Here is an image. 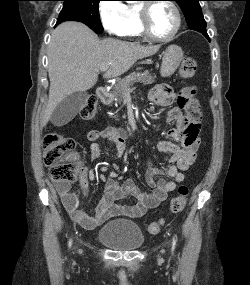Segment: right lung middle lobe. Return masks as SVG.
Here are the masks:
<instances>
[{"instance_id":"1","label":"right lung middle lobe","mask_w":250,"mask_h":285,"mask_svg":"<svg viewBox=\"0 0 250 285\" xmlns=\"http://www.w3.org/2000/svg\"><path fill=\"white\" fill-rule=\"evenodd\" d=\"M64 6L56 25L63 21H79L89 26L95 33H101L98 5L101 0H62Z\"/></svg>"}]
</instances>
